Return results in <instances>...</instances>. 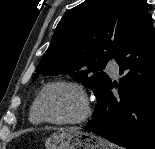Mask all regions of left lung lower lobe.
Returning a JSON list of instances; mask_svg holds the SVG:
<instances>
[{"label":"left lung lower lobe","instance_id":"obj_1","mask_svg":"<svg viewBox=\"0 0 155 149\" xmlns=\"http://www.w3.org/2000/svg\"><path fill=\"white\" fill-rule=\"evenodd\" d=\"M118 93L106 85L92 119L83 127L128 149H155V28L151 15L115 56Z\"/></svg>","mask_w":155,"mask_h":149}]
</instances>
